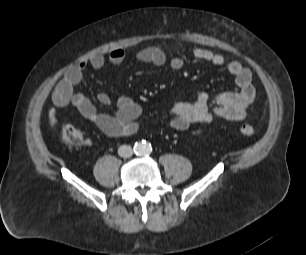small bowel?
Wrapping results in <instances>:
<instances>
[{
	"label": "small bowel",
	"instance_id": "c3829d8e",
	"mask_svg": "<svg viewBox=\"0 0 306 255\" xmlns=\"http://www.w3.org/2000/svg\"><path fill=\"white\" fill-rule=\"evenodd\" d=\"M195 59L209 62L212 65L225 69L233 76L237 90L223 92L211 97L206 92L197 95L194 102H177L170 109L169 127L176 131H185L196 123H211L218 119L229 121L243 120L247 115L248 106L254 101L256 90L252 83L251 71L239 61H227L220 53L205 48H195L192 51ZM136 60L155 66H162L167 62L166 53L159 47H146L136 52ZM125 59V52L120 48L112 49L108 56L97 54L88 60H82L69 67L62 79L57 83L52 93V103L55 107L72 105L87 120L110 137H127L133 135L138 128L137 119L142 113L139 103L128 96H120L116 100L114 114L99 113L94 104L83 94L76 93L83 72L91 67L101 70L107 61L120 64ZM185 61L181 56H175L169 61L173 70L184 67ZM102 105H109L111 97L102 92L97 97ZM49 124L56 127L58 124L56 110H49Z\"/></svg>",
	"mask_w": 306,
	"mask_h": 255
}]
</instances>
